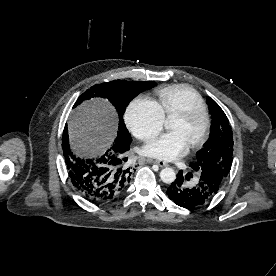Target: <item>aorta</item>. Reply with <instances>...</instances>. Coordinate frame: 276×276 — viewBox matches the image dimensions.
Wrapping results in <instances>:
<instances>
[{"label":"aorta","mask_w":276,"mask_h":276,"mask_svg":"<svg viewBox=\"0 0 276 276\" xmlns=\"http://www.w3.org/2000/svg\"><path fill=\"white\" fill-rule=\"evenodd\" d=\"M165 128L170 129L171 128V123L166 121L165 122ZM160 178L164 183L171 184L176 179V173L172 168H164L160 172Z\"/></svg>","instance_id":"1"}]
</instances>
